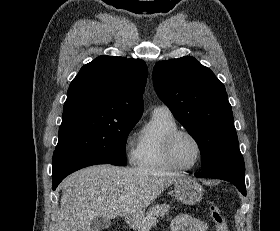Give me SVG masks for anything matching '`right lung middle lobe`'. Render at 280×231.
I'll list each match as a JSON object with an SVG mask.
<instances>
[{
    "mask_svg": "<svg viewBox=\"0 0 280 231\" xmlns=\"http://www.w3.org/2000/svg\"><path fill=\"white\" fill-rule=\"evenodd\" d=\"M137 121L110 117L62 120L54 153H76L125 166L127 137Z\"/></svg>",
    "mask_w": 280,
    "mask_h": 231,
    "instance_id": "obj_1",
    "label": "right lung middle lobe"
}]
</instances>
